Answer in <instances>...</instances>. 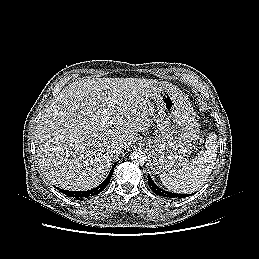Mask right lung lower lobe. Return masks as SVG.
Returning <instances> with one entry per match:
<instances>
[{"instance_id":"1","label":"right lung lower lobe","mask_w":259,"mask_h":259,"mask_svg":"<svg viewBox=\"0 0 259 259\" xmlns=\"http://www.w3.org/2000/svg\"><path fill=\"white\" fill-rule=\"evenodd\" d=\"M117 162L113 165L108 177L96 188L92 189V190H88V191H69V190H62L60 189V191L62 193H65L68 196L71 197H75V198H82V197H89V196H93L96 195L98 193H100L101 191H103L106 186L108 185V183L110 182V179L112 177L114 168L116 166Z\"/></svg>"}]
</instances>
